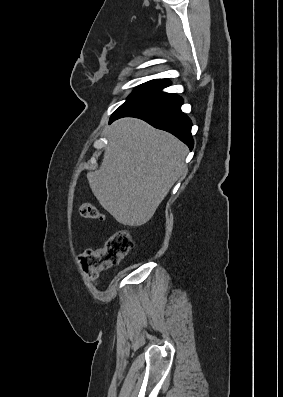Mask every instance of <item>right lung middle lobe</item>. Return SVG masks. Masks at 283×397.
Masks as SVG:
<instances>
[{
	"label": "right lung middle lobe",
	"mask_w": 283,
	"mask_h": 397,
	"mask_svg": "<svg viewBox=\"0 0 283 397\" xmlns=\"http://www.w3.org/2000/svg\"><path fill=\"white\" fill-rule=\"evenodd\" d=\"M168 82L152 80L144 84L139 85L128 97L125 103H123L113 114L116 115L126 107L144 99L151 95H154L161 91L162 88L168 86ZM111 116V117H112Z\"/></svg>",
	"instance_id": "1"
}]
</instances>
